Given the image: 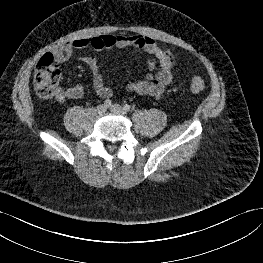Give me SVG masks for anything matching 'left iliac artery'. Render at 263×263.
Listing matches in <instances>:
<instances>
[{
  "mask_svg": "<svg viewBox=\"0 0 263 263\" xmlns=\"http://www.w3.org/2000/svg\"><path fill=\"white\" fill-rule=\"evenodd\" d=\"M130 105H128V104H125L124 106H123V109L126 111V112H128V111H130Z\"/></svg>",
  "mask_w": 263,
  "mask_h": 263,
  "instance_id": "44dca946",
  "label": "left iliac artery"
}]
</instances>
